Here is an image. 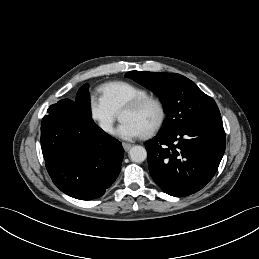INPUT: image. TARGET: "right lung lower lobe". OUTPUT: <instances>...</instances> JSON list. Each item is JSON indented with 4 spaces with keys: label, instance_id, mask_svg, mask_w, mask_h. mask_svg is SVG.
<instances>
[{
    "label": "right lung lower lobe",
    "instance_id": "right-lung-lower-lobe-1",
    "mask_svg": "<svg viewBox=\"0 0 259 259\" xmlns=\"http://www.w3.org/2000/svg\"><path fill=\"white\" fill-rule=\"evenodd\" d=\"M41 148L47 171L65 194L91 200L102 196L121 170V143L62 99L41 124Z\"/></svg>",
    "mask_w": 259,
    "mask_h": 259
}]
</instances>
